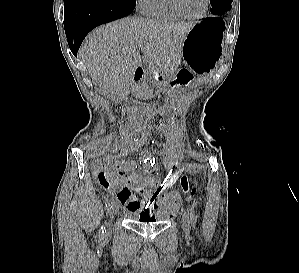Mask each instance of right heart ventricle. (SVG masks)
<instances>
[{"label":"right heart ventricle","instance_id":"right-heart-ventricle-1","mask_svg":"<svg viewBox=\"0 0 299 273\" xmlns=\"http://www.w3.org/2000/svg\"><path fill=\"white\" fill-rule=\"evenodd\" d=\"M142 12L158 20L174 21L183 18L173 7L171 0H147Z\"/></svg>","mask_w":299,"mask_h":273}]
</instances>
